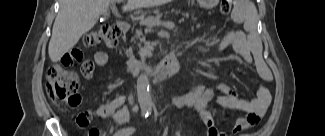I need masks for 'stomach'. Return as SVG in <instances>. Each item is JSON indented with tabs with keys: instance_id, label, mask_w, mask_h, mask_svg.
Segmentation results:
<instances>
[{
	"instance_id": "1",
	"label": "stomach",
	"mask_w": 325,
	"mask_h": 136,
	"mask_svg": "<svg viewBox=\"0 0 325 136\" xmlns=\"http://www.w3.org/2000/svg\"><path fill=\"white\" fill-rule=\"evenodd\" d=\"M218 0H199V4L203 7H211L217 4Z\"/></svg>"
}]
</instances>
